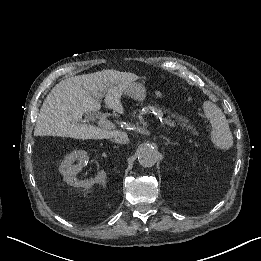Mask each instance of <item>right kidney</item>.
Instances as JSON below:
<instances>
[{
  "label": "right kidney",
  "mask_w": 261,
  "mask_h": 261,
  "mask_svg": "<svg viewBox=\"0 0 261 261\" xmlns=\"http://www.w3.org/2000/svg\"><path fill=\"white\" fill-rule=\"evenodd\" d=\"M87 159V153L85 151H78L69 154L65 157L64 161L59 167L60 173L63 175L64 180L71 186L89 188L95 183H104L107 179V172L105 170H99L97 176L89 180H78L74 175L79 172L80 165H74L73 163L78 160L85 162Z\"/></svg>",
  "instance_id": "obj_1"
}]
</instances>
